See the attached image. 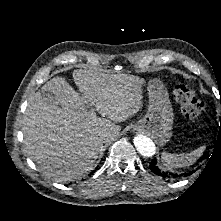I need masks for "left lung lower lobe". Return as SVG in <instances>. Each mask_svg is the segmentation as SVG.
I'll list each match as a JSON object with an SVG mask.
<instances>
[{"label": "left lung lower lobe", "instance_id": "left-lung-lower-lobe-1", "mask_svg": "<svg viewBox=\"0 0 221 221\" xmlns=\"http://www.w3.org/2000/svg\"><path fill=\"white\" fill-rule=\"evenodd\" d=\"M150 169L152 170V172L153 173H155L156 175H158V176H162V177H169V176H172V175H174L173 173H169V172H164V171H161L160 169H159V167L157 166V161H156V158H154L151 162H150ZM193 173V171L192 172H190V173H188V174H181V176L183 175V176H189V175H191ZM177 176V175H176Z\"/></svg>", "mask_w": 221, "mask_h": 221}]
</instances>
